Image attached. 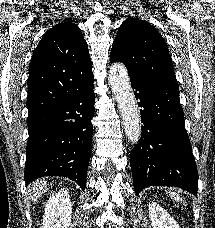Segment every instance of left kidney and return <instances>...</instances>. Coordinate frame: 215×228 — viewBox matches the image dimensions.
Listing matches in <instances>:
<instances>
[{"instance_id":"1","label":"left kidney","mask_w":215,"mask_h":228,"mask_svg":"<svg viewBox=\"0 0 215 228\" xmlns=\"http://www.w3.org/2000/svg\"><path fill=\"white\" fill-rule=\"evenodd\" d=\"M148 212L152 228H180L178 222L171 218L159 204L150 202Z\"/></svg>"}]
</instances>
